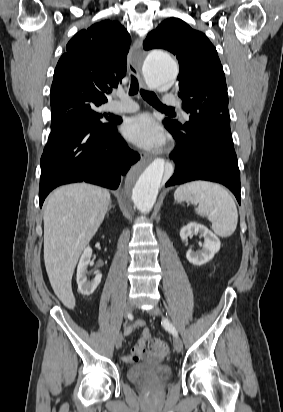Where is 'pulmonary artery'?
I'll list each match as a JSON object with an SVG mask.
<instances>
[{
	"mask_svg": "<svg viewBox=\"0 0 283 412\" xmlns=\"http://www.w3.org/2000/svg\"><path fill=\"white\" fill-rule=\"evenodd\" d=\"M118 97L120 100L111 106L112 111L122 113H133L138 110V105L127 96L118 95ZM178 101V98L172 95L164 96L162 99V103L166 106H175L177 105ZM184 116L186 119L189 118V115L187 113H185Z\"/></svg>",
	"mask_w": 283,
	"mask_h": 412,
	"instance_id": "obj_1",
	"label": "pulmonary artery"
}]
</instances>
